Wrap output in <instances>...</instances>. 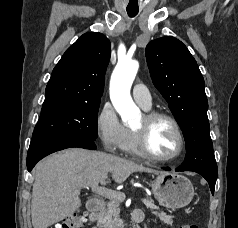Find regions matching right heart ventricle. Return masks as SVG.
Returning a JSON list of instances; mask_svg holds the SVG:
<instances>
[{
	"label": "right heart ventricle",
	"instance_id": "right-heart-ventricle-1",
	"mask_svg": "<svg viewBox=\"0 0 238 228\" xmlns=\"http://www.w3.org/2000/svg\"><path fill=\"white\" fill-rule=\"evenodd\" d=\"M123 150L131 156L143 157L137 144L136 135L132 129H128V137L123 147Z\"/></svg>",
	"mask_w": 238,
	"mask_h": 228
}]
</instances>
